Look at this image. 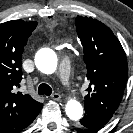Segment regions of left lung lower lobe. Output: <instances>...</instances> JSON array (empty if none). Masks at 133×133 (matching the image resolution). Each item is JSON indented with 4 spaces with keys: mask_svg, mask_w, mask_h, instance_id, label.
<instances>
[{
    "mask_svg": "<svg viewBox=\"0 0 133 133\" xmlns=\"http://www.w3.org/2000/svg\"><path fill=\"white\" fill-rule=\"evenodd\" d=\"M86 113L78 126L87 130H99L112 118L111 114L99 113L91 109H85Z\"/></svg>",
    "mask_w": 133,
    "mask_h": 133,
    "instance_id": "obj_1",
    "label": "left lung lower lobe"
}]
</instances>
